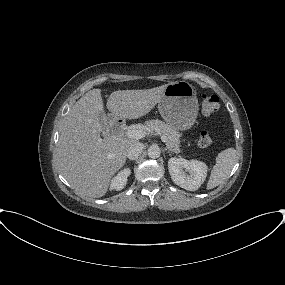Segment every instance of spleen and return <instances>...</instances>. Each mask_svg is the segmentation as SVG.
Instances as JSON below:
<instances>
[{"label": "spleen", "instance_id": "spleen-1", "mask_svg": "<svg viewBox=\"0 0 285 285\" xmlns=\"http://www.w3.org/2000/svg\"><path fill=\"white\" fill-rule=\"evenodd\" d=\"M236 160L237 154L234 148H228L221 151L218 154L216 164L211 171L207 189H213L220 185L229 176Z\"/></svg>", "mask_w": 285, "mask_h": 285}]
</instances>
